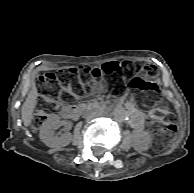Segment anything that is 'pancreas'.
Returning a JSON list of instances; mask_svg holds the SVG:
<instances>
[{
    "label": "pancreas",
    "instance_id": "cf45deb5",
    "mask_svg": "<svg viewBox=\"0 0 194 193\" xmlns=\"http://www.w3.org/2000/svg\"><path fill=\"white\" fill-rule=\"evenodd\" d=\"M101 101H104V98H101ZM101 101H98V104H101Z\"/></svg>",
    "mask_w": 194,
    "mask_h": 193
}]
</instances>
